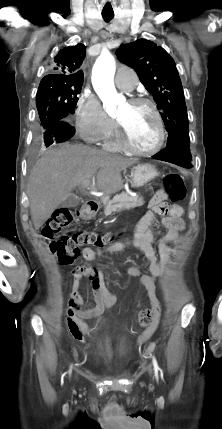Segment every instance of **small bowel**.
Wrapping results in <instances>:
<instances>
[{
  "label": "small bowel",
  "instance_id": "1",
  "mask_svg": "<svg viewBox=\"0 0 222 429\" xmlns=\"http://www.w3.org/2000/svg\"><path fill=\"white\" fill-rule=\"evenodd\" d=\"M161 192H158L151 200V210L138 222L134 238L131 241L116 242L106 251L101 249L84 248L82 256L84 263L73 271L74 285L71 299L67 306V325L73 337L81 342H86L91 338L85 319L101 317L102 314L111 308L116 297L108 290L104 272L100 268L91 265V262L102 256L104 252L116 253L124 250L128 246H133L141 250L149 262L150 275H141L140 270L135 266H128L125 272L133 277H139L141 284L148 290L150 297L155 296V285L157 279L164 273L165 265L168 263L172 249L169 243H177L181 238V231L184 229L183 208L180 205H169L165 201ZM157 216L160 220L156 222ZM162 228L164 234L157 241V251L153 247L155 240V229ZM87 277L91 282L96 305L93 309L84 310L83 300L79 293V280ZM105 324L102 319L99 324L101 329ZM156 325L147 328L137 337V343L147 341L155 332Z\"/></svg>",
  "mask_w": 222,
  "mask_h": 429
}]
</instances>
